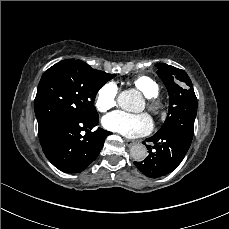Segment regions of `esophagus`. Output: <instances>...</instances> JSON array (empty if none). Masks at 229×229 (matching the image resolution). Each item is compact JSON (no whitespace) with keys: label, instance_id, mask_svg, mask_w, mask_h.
Returning a JSON list of instances; mask_svg holds the SVG:
<instances>
[{"label":"esophagus","instance_id":"esophagus-1","mask_svg":"<svg viewBox=\"0 0 229 229\" xmlns=\"http://www.w3.org/2000/svg\"><path fill=\"white\" fill-rule=\"evenodd\" d=\"M134 144H136V141H135V140H130V139H126V140H125V145H126L127 147H131V146H133Z\"/></svg>","mask_w":229,"mask_h":229}]
</instances>
